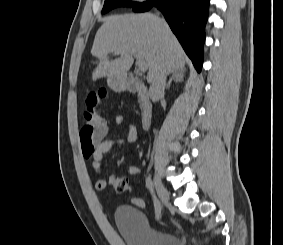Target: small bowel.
<instances>
[{
    "label": "small bowel",
    "instance_id": "c3829d8e",
    "mask_svg": "<svg viewBox=\"0 0 283 245\" xmlns=\"http://www.w3.org/2000/svg\"><path fill=\"white\" fill-rule=\"evenodd\" d=\"M115 124L119 127L127 128L126 138L108 139L109 127L105 122L100 126L92 128L83 126L80 130V144L83 156L86 159L91 160L92 166L98 175L101 172V161L106 153H108L114 146L133 143L138 138L136 126L129 123L124 116H116ZM139 173L140 168L136 165L128 167L125 171L127 176H134ZM117 177L116 174H112L108 179L99 176L96 178L94 186L97 190H105L108 186H113Z\"/></svg>",
    "mask_w": 283,
    "mask_h": 245
}]
</instances>
